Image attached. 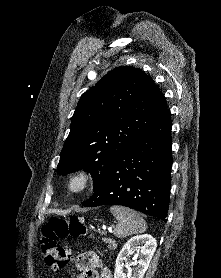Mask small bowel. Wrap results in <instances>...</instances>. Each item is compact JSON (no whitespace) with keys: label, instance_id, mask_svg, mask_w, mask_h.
<instances>
[{"label":"small bowel","instance_id":"1","mask_svg":"<svg viewBox=\"0 0 221 278\" xmlns=\"http://www.w3.org/2000/svg\"><path fill=\"white\" fill-rule=\"evenodd\" d=\"M76 267L80 271L78 278H112L105 262L93 251L80 253L77 257Z\"/></svg>","mask_w":221,"mask_h":278}]
</instances>
